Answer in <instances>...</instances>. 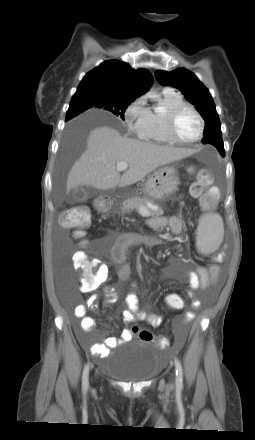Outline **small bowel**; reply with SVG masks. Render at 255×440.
<instances>
[{
	"mask_svg": "<svg viewBox=\"0 0 255 440\" xmlns=\"http://www.w3.org/2000/svg\"><path fill=\"white\" fill-rule=\"evenodd\" d=\"M149 227L152 229H162L166 226L170 228L174 235H179L183 229V219L181 215H174L169 219L165 217H155L148 221ZM162 238L153 235H139L135 233H124L116 237L115 243L111 250V260L116 266L117 275L120 280L127 281L131 274L130 265L127 262V251L130 246L136 244H144L153 246L160 244ZM98 267V275L96 278V285L108 279V266L105 263L94 261ZM188 280L187 296L191 299L192 305L197 307L199 301L194 296V291L198 289H206L210 284L215 283L219 277V266L217 263L211 264L208 268L198 266L196 270L188 271L186 273ZM84 292L91 290L81 289ZM105 294L108 302H113L118 297V292L112 287L105 288ZM164 298H182L178 293H168ZM96 297L92 296L88 301V306L77 305L73 312L74 316L80 320V328L83 332H90L94 330L96 322L94 318L87 316V309L95 308ZM127 310L123 312V317L126 323L132 324L136 320L146 321L150 325L157 327L162 323V317L157 313H147L140 310L139 298L134 292H129L125 296ZM194 318L193 312H185L182 316L183 323H187ZM132 338V332L128 329L124 330L120 337H107L103 343L89 344L88 341L80 336V341L88 347L89 352L99 358H106L110 355L112 348L121 345L123 342L129 341ZM181 342V339L178 340Z\"/></svg>",
	"mask_w": 255,
	"mask_h": 440,
	"instance_id": "obj_1",
	"label": "small bowel"
}]
</instances>
